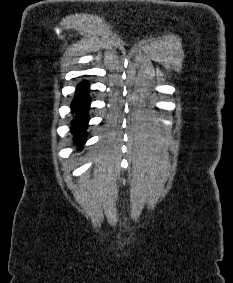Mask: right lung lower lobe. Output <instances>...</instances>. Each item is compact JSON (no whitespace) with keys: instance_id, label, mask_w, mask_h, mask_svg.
Returning <instances> with one entry per match:
<instances>
[{"instance_id":"98d812e1","label":"right lung lower lobe","mask_w":233,"mask_h":283,"mask_svg":"<svg viewBox=\"0 0 233 283\" xmlns=\"http://www.w3.org/2000/svg\"><path fill=\"white\" fill-rule=\"evenodd\" d=\"M88 91L89 86L87 82L79 84L76 90V96L71 105L72 112L76 115L75 120L72 122V132L78 144H83L86 137L85 131L89 120L87 113L90 105V98L87 95Z\"/></svg>"}]
</instances>
